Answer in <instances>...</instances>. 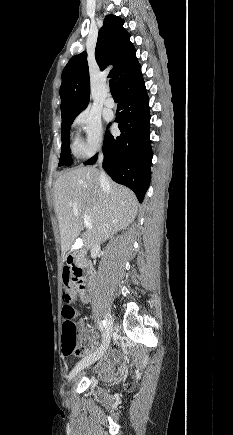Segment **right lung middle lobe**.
Returning a JSON list of instances; mask_svg holds the SVG:
<instances>
[{"label": "right lung middle lobe", "mask_w": 233, "mask_h": 435, "mask_svg": "<svg viewBox=\"0 0 233 435\" xmlns=\"http://www.w3.org/2000/svg\"><path fill=\"white\" fill-rule=\"evenodd\" d=\"M77 115L62 117V126H61V138H62V146H61V156L59 160L58 166L63 165H71V152H70V126L73 123L74 119Z\"/></svg>", "instance_id": "obj_1"}]
</instances>
